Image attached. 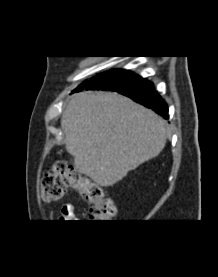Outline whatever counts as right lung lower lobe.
<instances>
[{
  "label": "right lung lower lobe",
  "instance_id": "right-lung-lower-lobe-1",
  "mask_svg": "<svg viewBox=\"0 0 218 277\" xmlns=\"http://www.w3.org/2000/svg\"><path fill=\"white\" fill-rule=\"evenodd\" d=\"M101 82L98 77H94L88 81L83 82L77 87V91L86 89L102 90ZM123 94L134 101L144 105L147 108H151L159 115L168 119V107L160 95L155 91L153 83L148 80L141 79L135 84L123 89L111 90Z\"/></svg>",
  "mask_w": 218,
  "mask_h": 277
}]
</instances>
